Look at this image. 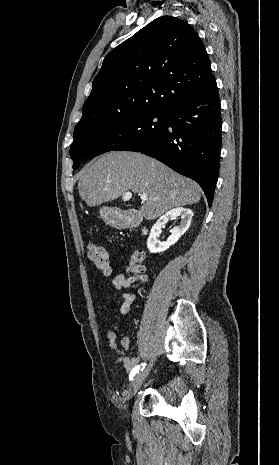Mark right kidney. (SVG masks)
I'll return each instance as SVG.
<instances>
[{
    "label": "right kidney",
    "instance_id": "ca27d5eb",
    "mask_svg": "<svg viewBox=\"0 0 279 465\" xmlns=\"http://www.w3.org/2000/svg\"><path fill=\"white\" fill-rule=\"evenodd\" d=\"M180 217L181 222L178 226L174 227L170 232L171 235L165 242H160L157 238L161 233V228L171 219ZM193 212L190 209L177 207L168 211L165 215L161 216L157 222L152 226L150 235L147 239V248L151 253H159L167 250L170 246L174 245L179 238L188 230Z\"/></svg>",
    "mask_w": 279,
    "mask_h": 465
}]
</instances>
